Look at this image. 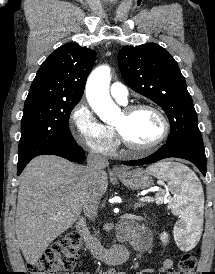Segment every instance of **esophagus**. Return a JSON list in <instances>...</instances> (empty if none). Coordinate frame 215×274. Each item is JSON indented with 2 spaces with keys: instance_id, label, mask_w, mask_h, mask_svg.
Returning <instances> with one entry per match:
<instances>
[{
  "instance_id": "1",
  "label": "esophagus",
  "mask_w": 215,
  "mask_h": 274,
  "mask_svg": "<svg viewBox=\"0 0 215 274\" xmlns=\"http://www.w3.org/2000/svg\"><path fill=\"white\" fill-rule=\"evenodd\" d=\"M112 170H113V173L117 175L123 173V170L118 166H114Z\"/></svg>"
}]
</instances>
